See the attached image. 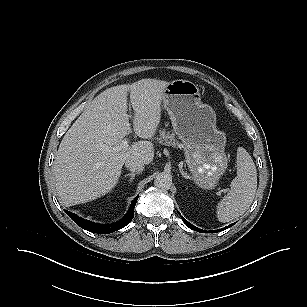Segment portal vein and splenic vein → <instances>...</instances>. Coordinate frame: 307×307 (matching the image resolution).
Wrapping results in <instances>:
<instances>
[{"instance_id": "obj_1", "label": "portal vein and splenic vein", "mask_w": 307, "mask_h": 307, "mask_svg": "<svg viewBox=\"0 0 307 307\" xmlns=\"http://www.w3.org/2000/svg\"><path fill=\"white\" fill-rule=\"evenodd\" d=\"M128 143H129V140L125 138L121 141V143L118 146L113 147L112 149L116 151H126L129 148Z\"/></svg>"}]
</instances>
